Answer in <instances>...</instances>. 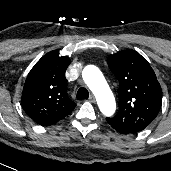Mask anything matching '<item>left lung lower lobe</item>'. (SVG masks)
Masks as SVG:
<instances>
[{"label": "left lung lower lobe", "instance_id": "obj_1", "mask_svg": "<svg viewBox=\"0 0 171 171\" xmlns=\"http://www.w3.org/2000/svg\"><path fill=\"white\" fill-rule=\"evenodd\" d=\"M107 120V119H106ZM107 122L110 124V121L107 120ZM111 125V124H110ZM112 126V125H111ZM113 127V126H112ZM147 126L142 125H126L123 127H113L116 131H118L121 134H135L137 132L142 131Z\"/></svg>", "mask_w": 171, "mask_h": 171}]
</instances>
